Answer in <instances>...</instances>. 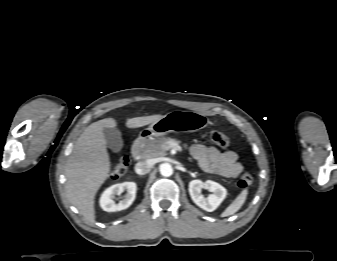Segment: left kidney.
Instances as JSON below:
<instances>
[{"label":"left kidney","instance_id":"5707ae66","mask_svg":"<svg viewBox=\"0 0 337 261\" xmlns=\"http://www.w3.org/2000/svg\"><path fill=\"white\" fill-rule=\"evenodd\" d=\"M207 189L212 192L208 198H204L201 194V189ZM189 194L193 202L205 211H214L224 200L227 195L226 189L217 182L207 180H192L189 183Z\"/></svg>","mask_w":337,"mask_h":261}]
</instances>
